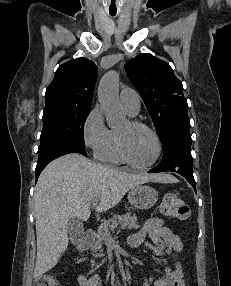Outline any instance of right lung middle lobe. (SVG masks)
<instances>
[{"instance_id":"obj_1","label":"right lung middle lobe","mask_w":231,"mask_h":286,"mask_svg":"<svg viewBox=\"0 0 231 286\" xmlns=\"http://www.w3.org/2000/svg\"><path fill=\"white\" fill-rule=\"evenodd\" d=\"M90 107L55 105L45 107L39 151L59 143L85 145L83 126Z\"/></svg>"}]
</instances>
